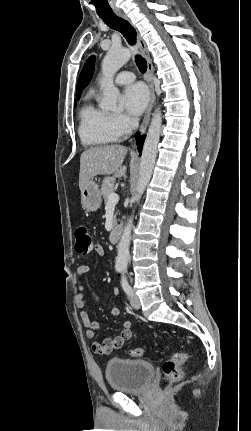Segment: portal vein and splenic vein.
I'll list each match as a JSON object with an SVG mask.
<instances>
[{
    "label": "portal vein and splenic vein",
    "instance_id": "obj_1",
    "mask_svg": "<svg viewBox=\"0 0 251 431\" xmlns=\"http://www.w3.org/2000/svg\"><path fill=\"white\" fill-rule=\"evenodd\" d=\"M109 204H117L119 202V196L116 193H111L108 197Z\"/></svg>",
    "mask_w": 251,
    "mask_h": 431
}]
</instances>
